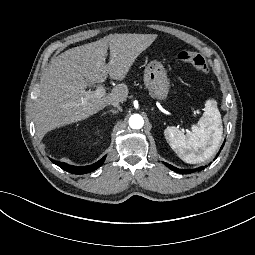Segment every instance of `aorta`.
Listing matches in <instances>:
<instances>
[{"label":"aorta","instance_id":"1","mask_svg":"<svg viewBox=\"0 0 255 255\" xmlns=\"http://www.w3.org/2000/svg\"><path fill=\"white\" fill-rule=\"evenodd\" d=\"M144 125V120L142 118L141 115L139 114H133L130 118H129V126L132 129H140L142 128Z\"/></svg>","mask_w":255,"mask_h":255}]
</instances>
